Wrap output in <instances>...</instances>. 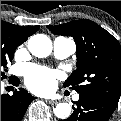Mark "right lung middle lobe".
<instances>
[{
    "mask_svg": "<svg viewBox=\"0 0 121 121\" xmlns=\"http://www.w3.org/2000/svg\"><path fill=\"white\" fill-rule=\"evenodd\" d=\"M25 41L9 24L1 21V80L6 78L7 63L13 59L16 48Z\"/></svg>",
    "mask_w": 121,
    "mask_h": 121,
    "instance_id": "right-lung-middle-lobe-1",
    "label": "right lung middle lobe"
}]
</instances>
